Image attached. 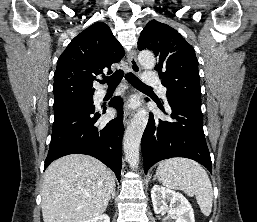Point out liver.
Listing matches in <instances>:
<instances>
[{
	"label": "liver",
	"mask_w": 257,
	"mask_h": 222,
	"mask_svg": "<svg viewBox=\"0 0 257 222\" xmlns=\"http://www.w3.org/2000/svg\"><path fill=\"white\" fill-rule=\"evenodd\" d=\"M115 189L111 171L81 154L61 157L46 169L42 188L44 222H85L104 213Z\"/></svg>",
	"instance_id": "obj_1"
}]
</instances>
